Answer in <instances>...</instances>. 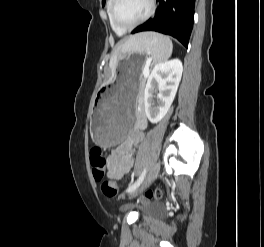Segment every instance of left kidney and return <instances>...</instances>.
<instances>
[{
	"mask_svg": "<svg viewBox=\"0 0 264 247\" xmlns=\"http://www.w3.org/2000/svg\"><path fill=\"white\" fill-rule=\"evenodd\" d=\"M183 66L179 59L161 62L152 69L145 86L144 106L151 123H158L167 114L176 95ZM157 93L158 105L153 100Z\"/></svg>",
	"mask_w": 264,
	"mask_h": 247,
	"instance_id": "5707ae66",
	"label": "left kidney"
}]
</instances>
